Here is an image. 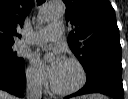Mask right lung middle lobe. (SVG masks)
I'll return each instance as SVG.
<instances>
[{"label":"right lung middle lobe","instance_id":"dd1d6c3e","mask_svg":"<svg viewBox=\"0 0 128 99\" xmlns=\"http://www.w3.org/2000/svg\"><path fill=\"white\" fill-rule=\"evenodd\" d=\"M12 46L13 43H0V69L16 71L24 65V60L17 56Z\"/></svg>","mask_w":128,"mask_h":99}]
</instances>
